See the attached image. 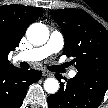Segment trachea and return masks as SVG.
Returning <instances> with one entry per match:
<instances>
[{
    "instance_id": "obj_1",
    "label": "trachea",
    "mask_w": 108,
    "mask_h": 108,
    "mask_svg": "<svg viewBox=\"0 0 108 108\" xmlns=\"http://www.w3.org/2000/svg\"><path fill=\"white\" fill-rule=\"evenodd\" d=\"M20 66H21L22 68H28V67H29V64L26 63V62H22V63L20 64Z\"/></svg>"
}]
</instances>
